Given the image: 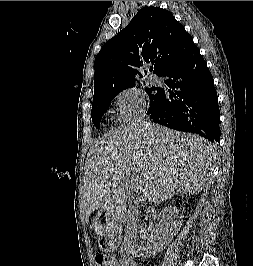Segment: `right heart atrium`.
Segmentation results:
<instances>
[{
  "mask_svg": "<svg viewBox=\"0 0 253 266\" xmlns=\"http://www.w3.org/2000/svg\"><path fill=\"white\" fill-rule=\"evenodd\" d=\"M116 102L119 119L123 122H130L141 117L147 107L143 90L136 86L122 89L116 97Z\"/></svg>",
  "mask_w": 253,
  "mask_h": 266,
  "instance_id": "obj_1",
  "label": "right heart atrium"
}]
</instances>
